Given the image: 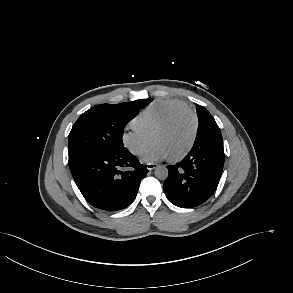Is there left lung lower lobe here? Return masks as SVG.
<instances>
[{"label":"left lung lower lobe","instance_id":"left-lung-lower-lobe-1","mask_svg":"<svg viewBox=\"0 0 293 293\" xmlns=\"http://www.w3.org/2000/svg\"><path fill=\"white\" fill-rule=\"evenodd\" d=\"M223 164V141L216 138L195 141L181 162L167 166L169 175L163 186L166 197L182 208L204 203L218 186Z\"/></svg>","mask_w":293,"mask_h":293}]
</instances>
